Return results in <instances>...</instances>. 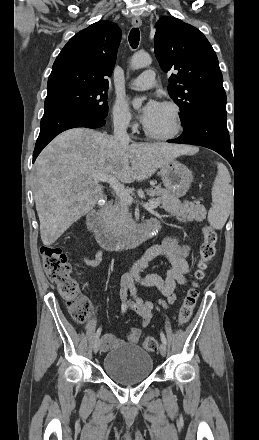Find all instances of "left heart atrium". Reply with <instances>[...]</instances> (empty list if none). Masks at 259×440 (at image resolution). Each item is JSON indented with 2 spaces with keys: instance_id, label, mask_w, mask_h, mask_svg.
<instances>
[{
  "instance_id": "1",
  "label": "left heart atrium",
  "mask_w": 259,
  "mask_h": 440,
  "mask_svg": "<svg viewBox=\"0 0 259 440\" xmlns=\"http://www.w3.org/2000/svg\"><path fill=\"white\" fill-rule=\"evenodd\" d=\"M162 104L155 99H149L140 110V120L146 126L159 113Z\"/></svg>"
}]
</instances>
